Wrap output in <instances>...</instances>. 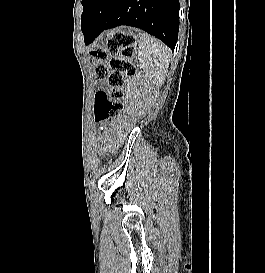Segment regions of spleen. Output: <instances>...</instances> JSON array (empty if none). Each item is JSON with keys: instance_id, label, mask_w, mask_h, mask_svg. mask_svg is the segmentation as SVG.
I'll return each mask as SVG.
<instances>
[{"instance_id": "obj_1", "label": "spleen", "mask_w": 265, "mask_h": 273, "mask_svg": "<svg viewBox=\"0 0 265 273\" xmlns=\"http://www.w3.org/2000/svg\"><path fill=\"white\" fill-rule=\"evenodd\" d=\"M137 41L139 59L147 79L155 85H162L169 67L168 47L146 33L137 35Z\"/></svg>"}]
</instances>
